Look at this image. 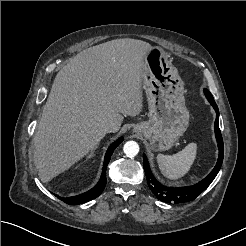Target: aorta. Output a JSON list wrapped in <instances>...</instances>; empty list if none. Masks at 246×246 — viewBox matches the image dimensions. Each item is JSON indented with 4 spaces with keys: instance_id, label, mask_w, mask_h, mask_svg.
<instances>
[{
    "instance_id": "obj_1",
    "label": "aorta",
    "mask_w": 246,
    "mask_h": 246,
    "mask_svg": "<svg viewBox=\"0 0 246 246\" xmlns=\"http://www.w3.org/2000/svg\"><path fill=\"white\" fill-rule=\"evenodd\" d=\"M124 153L128 157H134L139 153V145L135 141H127L123 147Z\"/></svg>"
}]
</instances>
